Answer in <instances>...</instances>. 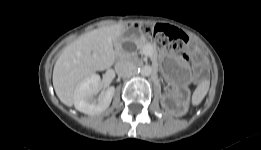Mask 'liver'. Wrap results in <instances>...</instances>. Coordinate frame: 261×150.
Instances as JSON below:
<instances>
[{
  "label": "liver",
  "mask_w": 261,
  "mask_h": 150,
  "mask_svg": "<svg viewBox=\"0 0 261 150\" xmlns=\"http://www.w3.org/2000/svg\"><path fill=\"white\" fill-rule=\"evenodd\" d=\"M124 31L122 24L98 28L81 35L62 51L54 65L53 86L63 104L73 106L78 83L114 64L113 45L122 39Z\"/></svg>",
  "instance_id": "1"
}]
</instances>
